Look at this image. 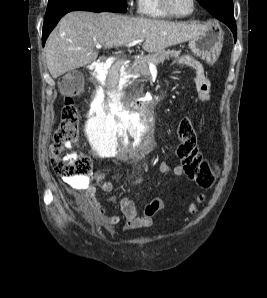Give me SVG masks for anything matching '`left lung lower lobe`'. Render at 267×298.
<instances>
[{
    "label": "left lung lower lobe",
    "mask_w": 267,
    "mask_h": 298,
    "mask_svg": "<svg viewBox=\"0 0 267 298\" xmlns=\"http://www.w3.org/2000/svg\"><path fill=\"white\" fill-rule=\"evenodd\" d=\"M220 21L225 23L231 29V31L233 32L234 38L236 40L237 31H236V23H235V20H234V15L223 17Z\"/></svg>",
    "instance_id": "left-lung-lower-lobe-1"
}]
</instances>
